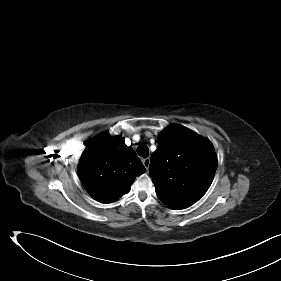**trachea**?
I'll use <instances>...</instances> for the list:
<instances>
[{"instance_id": "obj_1", "label": "trachea", "mask_w": 281, "mask_h": 281, "mask_svg": "<svg viewBox=\"0 0 281 281\" xmlns=\"http://www.w3.org/2000/svg\"><path fill=\"white\" fill-rule=\"evenodd\" d=\"M137 153H138L139 156H141L143 158L148 157L149 149H148L147 145H145V144L139 145L138 148H137Z\"/></svg>"}]
</instances>
